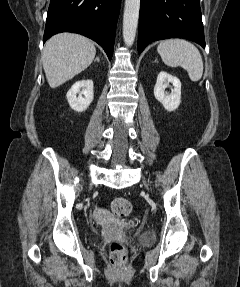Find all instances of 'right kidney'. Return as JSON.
<instances>
[{
    "label": "right kidney",
    "instance_id": "ca27d5eb",
    "mask_svg": "<svg viewBox=\"0 0 240 287\" xmlns=\"http://www.w3.org/2000/svg\"><path fill=\"white\" fill-rule=\"evenodd\" d=\"M93 88V81L90 79L74 83L66 95L70 107L76 112L85 111L93 101Z\"/></svg>",
    "mask_w": 240,
    "mask_h": 287
}]
</instances>
